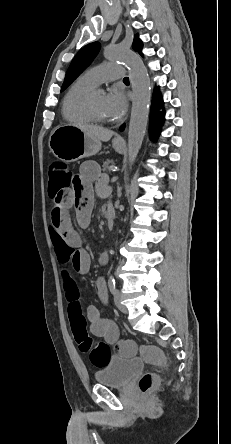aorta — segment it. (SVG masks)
I'll return each instance as SVG.
<instances>
[{"label":"aorta","mask_w":231,"mask_h":444,"mask_svg":"<svg viewBox=\"0 0 231 444\" xmlns=\"http://www.w3.org/2000/svg\"><path fill=\"white\" fill-rule=\"evenodd\" d=\"M105 57L124 62L130 70L133 99L128 132V155L132 164L141 148L147 127L151 96L150 78L141 57L128 49L109 45L105 48Z\"/></svg>","instance_id":"762f6f07"}]
</instances>
